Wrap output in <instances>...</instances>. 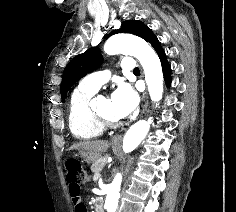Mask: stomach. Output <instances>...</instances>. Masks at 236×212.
<instances>
[{
  "label": "stomach",
  "mask_w": 236,
  "mask_h": 212,
  "mask_svg": "<svg viewBox=\"0 0 236 212\" xmlns=\"http://www.w3.org/2000/svg\"><path fill=\"white\" fill-rule=\"evenodd\" d=\"M78 154L88 164L95 162L99 157L85 150H79Z\"/></svg>",
  "instance_id": "stomach-1"
}]
</instances>
